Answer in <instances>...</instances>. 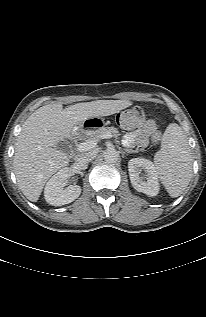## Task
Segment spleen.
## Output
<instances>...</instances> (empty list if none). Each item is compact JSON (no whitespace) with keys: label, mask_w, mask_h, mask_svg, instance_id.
I'll return each instance as SVG.
<instances>
[{"label":"spleen","mask_w":206,"mask_h":317,"mask_svg":"<svg viewBox=\"0 0 206 317\" xmlns=\"http://www.w3.org/2000/svg\"><path fill=\"white\" fill-rule=\"evenodd\" d=\"M182 128L171 123L166 128L161 149L155 154L156 173L171 197L180 196L192 178V155Z\"/></svg>","instance_id":"1"}]
</instances>
